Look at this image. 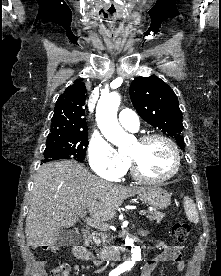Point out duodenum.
<instances>
[{
  "label": "duodenum",
  "mask_w": 221,
  "mask_h": 276,
  "mask_svg": "<svg viewBox=\"0 0 221 276\" xmlns=\"http://www.w3.org/2000/svg\"><path fill=\"white\" fill-rule=\"evenodd\" d=\"M81 236H82L83 244L88 245L91 241V232L88 229H83L81 232ZM78 247H83V246H78ZM98 255H99L100 259L106 260V259L110 258L111 251L109 249H101V250H99Z\"/></svg>",
  "instance_id": "410a0bca"
}]
</instances>
